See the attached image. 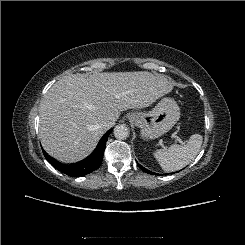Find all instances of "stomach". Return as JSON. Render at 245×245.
Wrapping results in <instances>:
<instances>
[{"instance_id": "stomach-1", "label": "stomach", "mask_w": 245, "mask_h": 245, "mask_svg": "<svg viewBox=\"0 0 245 245\" xmlns=\"http://www.w3.org/2000/svg\"><path fill=\"white\" fill-rule=\"evenodd\" d=\"M180 108L172 98H163L148 113L134 112L130 120L141 129V136L155 139L167 133L179 120Z\"/></svg>"}]
</instances>
